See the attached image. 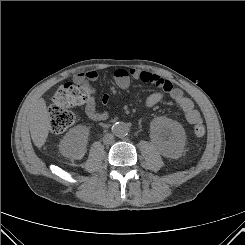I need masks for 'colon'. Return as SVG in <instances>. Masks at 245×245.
I'll return each instance as SVG.
<instances>
[{"mask_svg":"<svg viewBox=\"0 0 245 245\" xmlns=\"http://www.w3.org/2000/svg\"><path fill=\"white\" fill-rule=\"evenodd\" d=\"M93 94L92 87L87 84L66 83L58 88L52 97L49 108L50 128L53 133H62L68 129L76 119L75 106L85 104ZM197 137L205 134V126L198 122L193 127Z\"/></svg>","mask_w":245,"mask_h":245,"instance_id":"1","label":"colon"}]
</instances>
